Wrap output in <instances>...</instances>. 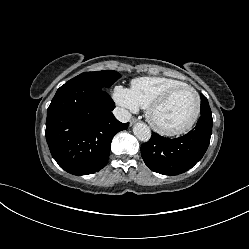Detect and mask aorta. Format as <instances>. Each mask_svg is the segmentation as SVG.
<instances>
[{
    "label": "aorta",
    "mask_w": 249,
    "mask_h": 249,
    "mask_svg": "<svg viewBox=\"0 0 249 249\" xmlns=\"http://www.w3.org/2000/svg\"><path fill=\"white\" fill-rule=\"evenodd\" d=\"M133 133L139 140L143 142H147L151 137L150 128L142 122L137 123L133 127Z\"/></svg>",
    "instance_id": "aorta-1"
}]
</instances>
